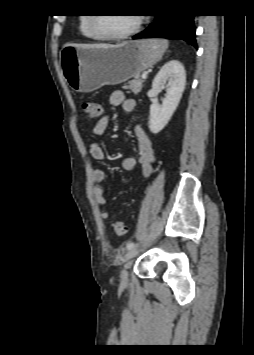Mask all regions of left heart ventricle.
<instances>
[{
	"mask_svg": "<svg viewBox=\"0 0 254 355\" xmlns=\"http://www.w3.org/2000/svg\"><path fill=\"white\" fill-rule=\"evenodd\" d=\"M135 17V15H114L101 18L100 29L106 34H121L134 25Z\"/></svg>",
	"mask_w": 254,
	"mask_h": 355,
	"instance_id": "obj_1",
	"label": "left heart ventricle"
}]
</instances>
